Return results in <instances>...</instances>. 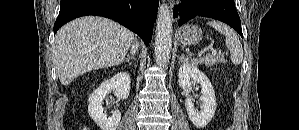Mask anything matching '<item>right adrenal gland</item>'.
<instances>
[{
	"instance_id": "obj_1",
	"label": "right adrenal gland",
	"mask_w": 299,
	"mask_h": 130,
	"mask_svg": "<svg viewBox=\"0 0 299 130\" xmlns=\"http://www.w3.org/2000/svg\"><path fill=\"white\" fill-rule=\"evenodd\" d=\"M133 59V56L127 55L124 61L128 62L129 65H131L130 60Z\"/></svg>"
}]
</instances>
